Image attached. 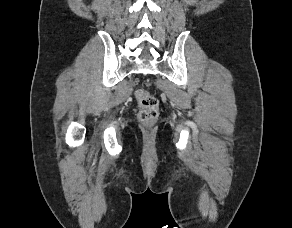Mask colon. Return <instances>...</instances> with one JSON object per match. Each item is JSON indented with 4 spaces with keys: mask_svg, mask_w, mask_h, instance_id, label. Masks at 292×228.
I'll list each match as a JSON object with an SVG mask.
<instances>
[{
    "mask_svg": "<svg viewBox=\"0 0 292 228\" xmlns=\"http://www.w3.org/2000/svg\"><path fill=\"white\" fill-rule=\"evenodd\" d=\"M136 99L139 105L138 117L145 124H152L158 117L159 102L156 97L144 89L136 91Z\"/></svg>",
    "mask_w": 292,
    "mask_h": 228,
    "instance_id": "obj_1",
    "label": "colon"
}]
</instances>
